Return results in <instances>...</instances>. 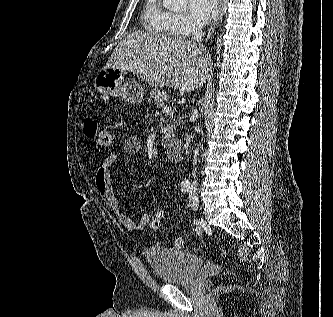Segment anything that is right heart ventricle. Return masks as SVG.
Wrapping results in <instances>:
<instances>
[{
    "label": "right heart ventricle",
    "instance_id": "right-heart-ventricle-1",
    "mask_svg": "<svg viewBox=\"0 0 333 317\" xmlns=\"http://www.w3.org/2000/svg\"><path fill=\"white\" fill-rule=\"evenodd\" d=\"M171 17L172 13L161 0H145L142 21L146 30L162 36L172 35Z\"/></svg>",
    "mask_w": 333,
    "mask_h": 317
}]
</instances>
